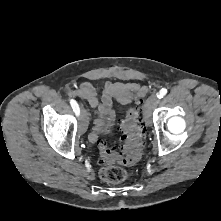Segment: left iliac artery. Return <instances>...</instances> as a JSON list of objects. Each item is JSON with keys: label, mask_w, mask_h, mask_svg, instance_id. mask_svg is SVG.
I'll return each instance as SVG.
<instances>
[{"label": "left iliac artery", "mask_w": 221, "mask_h": 221, "mask_svg": "<svg viewBox=\"0 0 221 221\" xmlns=\"http://www.w3.org/2000/svg\"><path fill=\"white\" fill-rule=\"evenodd\" d=\"M167 94V89L166 88H162L159 93L157 94V97L159 99L163 98L165 95Z\"/></svg>", "instance_id": "obj_1"}]
</instances>
